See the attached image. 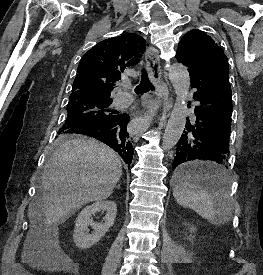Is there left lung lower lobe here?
I'll list each match as a JSON object with an SVG mask.
<instances>
[{"mask_svg":"<svg viewBox=\"0 0 263 275\" xmlns=\"http://www.w3.org/2000/svg\"><path fill=\"white\" fill-rule=\"evenodd\" d=\"M190 79L191 86L196 88L193 98L199 101L195 108L196 123L187 119L177 143L173 169L176 168L178 180L200 182L217 191L224 177L216 171L192 165V162L208 160L220 165L228 162L232 115L229 75L211 79L190 75Z\"/></svg>","mask_w":263,"mask_h":275,"instance_id":"left-lung-lower-lobe-1","label":"left lung lower lobe"}]
</instances>
